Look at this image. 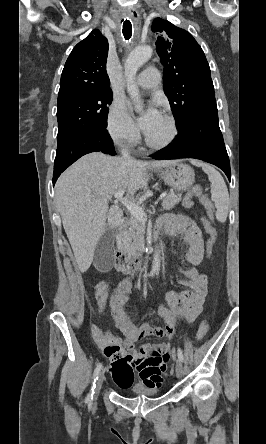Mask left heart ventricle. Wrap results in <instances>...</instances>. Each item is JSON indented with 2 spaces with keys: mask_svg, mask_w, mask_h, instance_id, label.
Instances as JSON below:
<instances>
[{
  "mask_svg": "<svg viewBox=\"0 0 266 444\" xmlns=\"http://www.w3.org/2000/svg\"><path fill=\"white\" fill-rule=\"evenodd\" d=\"M170 132L171 127L168 120L164 116H161L146 134L153 142L162 143L168 138Z\"/></svg>",
  "mask_w": 266,
  "mask_h": 444,
  "instance_id": "left-heart-ventricle-1",
  "label": "left heart ventricle"
}]
</instances>
